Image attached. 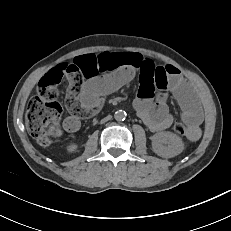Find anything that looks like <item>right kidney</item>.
I'll use <instances>...</instances> for the list:
<instances>
[{"label":"right kidney","mask_w":231,"mask_h":231,"mask_svg":"<svg viewBox=\"0 0 231 231\" xmlns=\"http://www.w3.org/2000/svg\"><path fill=\"white\" fill-rule=\"evenodd\" d=\"M76 149V145L75 144H71L68 146V150L69 151H74Z\"/></svg>","instance_id":"ca27d5eb"}]
</instances>
